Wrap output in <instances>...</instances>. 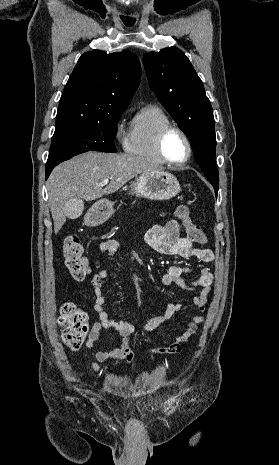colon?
<instances>
[{
  "label": "colon",
  "instance_id": "5ec220e1",
  "mask_svg": "<svg viewBox=\"0 0 279 465\" xmlns=\"http://www.w3.org/2000/svg\"><path fill=\"white\" fill-rule=\"evenodd\" d=\"M176 217L183 223L187 236L191 241L204 244L207 238L200 225L191 220L186 205H179L175 210ZM63 259L71 276L78 281L85 279L90 272L88 259L84 256V248L77 236H68L63 244ZM59 323L62 326V339L72 350L81 347L88 334L86 313L73 303H64L60 308Z\"/></svg>",
  "mask_w": 279,
  "mask_h": 465
}]
</instances>
